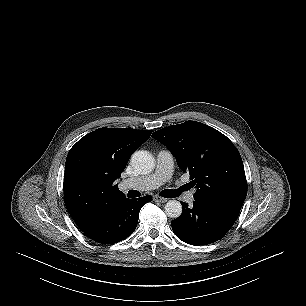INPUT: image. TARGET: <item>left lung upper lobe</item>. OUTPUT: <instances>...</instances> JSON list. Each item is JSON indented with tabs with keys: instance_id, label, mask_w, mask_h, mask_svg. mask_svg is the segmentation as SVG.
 I'll use <instances>...</instances> for the list:
<instances>
[{
	"instance_id": "left-lung-upper-lobe-1",
	"label": "left lung upper lobe",
	"mask_w": 306,
	"mask_h": 306,
	"mask_svg": "<svg viewBox=\"0 0 306 306\" xmlns=\"http://www.w3.org/2000/svg\"><path fill=\"white\" fill-rule=\"evenodd\" d=\"M152 137L165 145L182 171L190 174L194 199L242 207L247 181L239 151L218 130L186 121L158 130Z\"/></svg>"
}]
</instances>
